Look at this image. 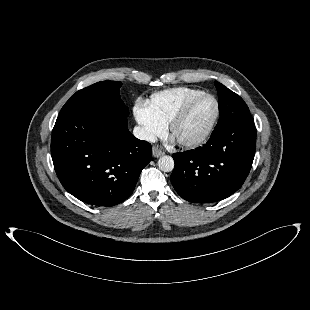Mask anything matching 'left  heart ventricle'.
<instances>
[{"mask_svg":"<svg viewBox=\"0 0 310 310\" xmlns=\"http://www.w3.org/2000/svg\"><path fill=\"white\" fill-rule=\"evenodd\" d=\"M215 105L212 99L204 98L196 102L186 118L177 126L175 136L188 140L199 136L213 117Z\"/></svg>","mask_w":310,"mask_h":310,"instance_id":"b2bd125f","label":"left heart ventricle"}]
</instances>
